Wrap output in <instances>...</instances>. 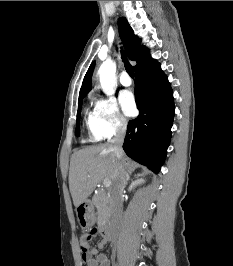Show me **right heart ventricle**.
Returning a JSON list of instances; mask_svg holds the SVG:
<instances>
[{
	"instance_id": "1",
	"label": "right heart ventricle",
	"mask_w": 233,
	"mask_h": 266,
	"mask_svg": "<svg viewBox=\"0 0 233 266\" xmlns=\"http://www.w3.org/2000/svg\"><path fill=\"white\" fill-rule=\"evenodd\" d=\"M95 121V109L93 111H86V125L90 131L91 139L93 141H99L101 138L93 131V124Z\"/></svg>"
}]
</instances>
